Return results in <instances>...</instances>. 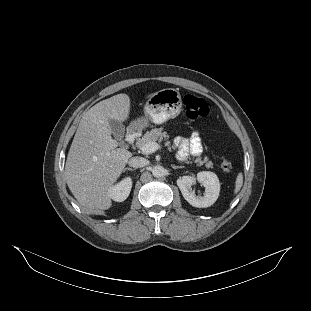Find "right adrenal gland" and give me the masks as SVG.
Listing matches in <instances>:
<instances>
[{
    "instance_id": "obj_1",
    "label": "right adrenal gland",
    "mask_w": 311,
    "mask_h": 311,
    "mask_svg": "<svg viewBox=\"0 0 311 311\" xmlns=\"http://www.w3.org/2000/svg\"><path fill=\"white\" fill-rule=\"evenodd\" d=\"M126 170H129V171H135L136 169H132V168H124L123 172H125Z\"/></svg>"
}]
</instances>
